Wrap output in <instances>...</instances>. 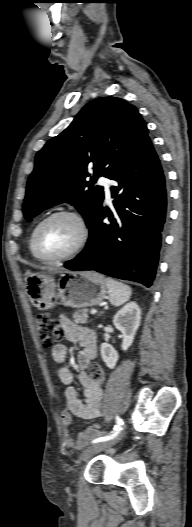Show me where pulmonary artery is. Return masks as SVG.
Returning a JSON list of instances; mask_svg holds the SVG:
<instances>
[{
    "label": "pulmonary artery",
    "mask_w": 192,
    "mask_h": 527,
    "mask_svg": "<svg viewBox=\"0 0 192 527\" xmlns=\"http://www.w3.org/2000/svg\"><path fill=\"white\" fill-rule=\"evenodd\" d=\"M99 183L103 186L106 200L109 202L111 200V181L108 178L101 176Z\"/></svg>",
    "instance_id": "obj_1"
}]
</instances>
